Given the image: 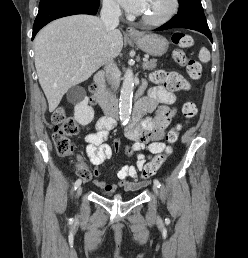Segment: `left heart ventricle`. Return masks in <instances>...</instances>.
I'll return each mask as SVG.
<instances>
[{
    "label": "left heart ventricle",
    "instance_id": "b2bd125f",
    "mask_svg": "<svg viewBox=\"0 0 248 258\" xmlns=\"http://www.w3.org/2000/svg\"><path fill=\"white\" fill-rule=\"evenodd\" d=\"M171 8V0H146L141 17L157 19L164 16Z\"/></svg>",
    "mask_w": 248,
    "mask_h": 258
}]
</instances>
